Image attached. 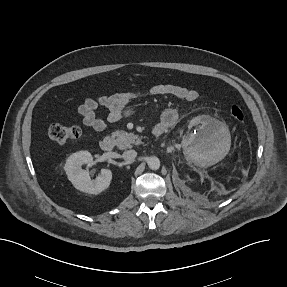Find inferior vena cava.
<instances>
[{"mask_svg":"<svg viewBox=\"0 0 287 287\" xmlns=\"http://www.w3.org/2000/svg\"><path fill=\"white\" fill-rule=\"evenodd\" d=\"M137 156V152L135 150H127L123 152L122 157L125 160L134 159Z\"/></svg>","mask_w":287,"mask_h":287,"instance_id":"602c4592","label":"inferior vena cava"}]
</instances>
